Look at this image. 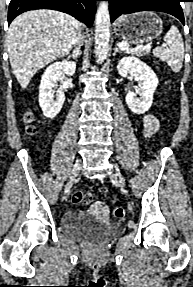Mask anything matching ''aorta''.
Masks as SVG:
<instances>
[{
  "label": "aorta",
  "instance_id": "762f6f07",
  "mask_svg": "<svg viewBox=\"0 0 193 287\" xmlns=\"http://www.w3.org/2000/svg\"><path fill=\"white\" fill-rule=\"evenodd\" d=\"M110 38V15L108 3L101 2L95 19V56L98 62H103L108 55Z\"/></svg>",
  "mask_w": 193,
  "mask_h": 287
}]
</instances>
